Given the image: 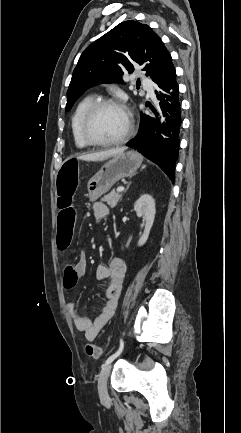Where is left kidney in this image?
I'll return each instance as SVG.
<instances>
[{"label":"left kidney","mask_w":241,"mask_h":433,"mask_svg":"<svg viewBox=\"0 0 241 433\" xmlns=\"http://www.w3.org/2000/svg\"><path fill=\"white\" fill-rule=\"evenodd\" d=\"M134 210L138 217L145 221L143 234L138 240V246H143L148 240L150 230L155 218V200L149 194L142 195L134 204Z\"/></svg>","instance_id":"1"}]
</instances>
